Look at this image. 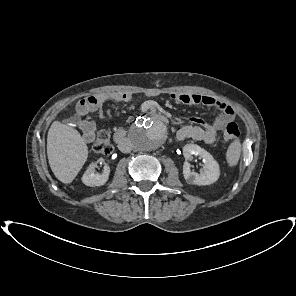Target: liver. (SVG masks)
Returning <instances> with one entry per match:
<instances>
[{
    "label": "liver",
    "instance_id": "1",
    "mask_svg": "<svg viewBox=\"0 0 296 296\" xmlns=\"http://www.w3.org/2000/svg\"><path fill=\"white\" fill-rule=\"evenodd\" d=\"M47 156L56 178L69 184L85 164L88 147L76 129L54 121L48 131Z\"/></svg>",
    "mask_w": 296,
    "mask_h": 296
}]
</instances>
